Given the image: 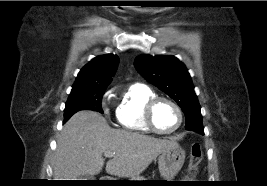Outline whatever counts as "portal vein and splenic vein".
<instances>
[{"mask_svg": "<svg viewBox=\"0 0 267 186\" xmlns=\"http://www.w3.org/2000/svg\"><path fill=\"white\" fill-rule=\"evenodd\" d=\"M115 155V152H105L104 156L105 157H113Z\"/></svg>", "mask_w": 267, "mask_h": 186, "instance_id": "1", "label": "portal vein and splenic vein"}]
</instances>
